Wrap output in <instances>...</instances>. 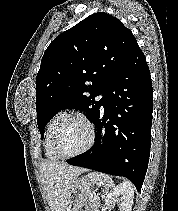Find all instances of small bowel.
Wrapping results in <instances>:
<instances>
[{
  "mask_svg": "<svg viewBox=\"0 0 178 211\" xmlns=\"http://www.w3.org/2000/svg\"><path fill=\"white\" fill-rule=\"evenodd\" d=\"M82 211H99V207L93 208V209H84Z\"/></svg>",
  "mask_w": 178,
  "mask_h": 211,
  "instance_id": "small-bowel-1",
  "label": "small bowel"
}]
</instances>
